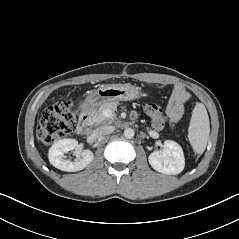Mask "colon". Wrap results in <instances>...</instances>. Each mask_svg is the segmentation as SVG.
Here are the masks:
<instances>
[{
	"instance_id": "obj_1",
	"label": "colon",
	"mask_w": 239,
	"mask_h": 239,
	"mask_svg": "<svg viewBox=\"0 0 239 239\" xmlns=\"http://www.w3.org/2000/svg\"><path fill=\"white\" fill-rule=\"evenodd\" d=\"M147 114L152 117L153 127L161 130L167 117L160 114L161 108L156 104L147 105ZM76 122V114L70 101L57 102L46 108L37 127V137L45 144H51L71 133Z\"/></svg>"
}]
</instances>
